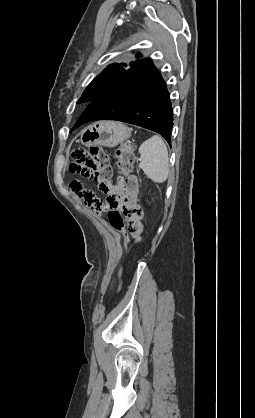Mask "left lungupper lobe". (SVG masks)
<instances>
[{"label": "left lung upper lobe", "mask_w": 255, "mask_h": 418, "mask_svg": "<svg viewBox=\"0 0 255 418\" xmlns=\"http://www.w3.org/2000/svg\"><path fill=\"white\" fill-rule=\"evenodd\" d=\"M140 54H137L136 57H140ZM144 59H137L135 61L127 63H113L105 68L93 81L88 85V87L83 92L81 98L77 103L91 102L95 97L102 93L110 84L116 81L121 75L124 74L126 70L130 67L138 64ZM75 128H72L74 130Z\"/></svg>", "instance_id": "obj_1"}]
</instances>
